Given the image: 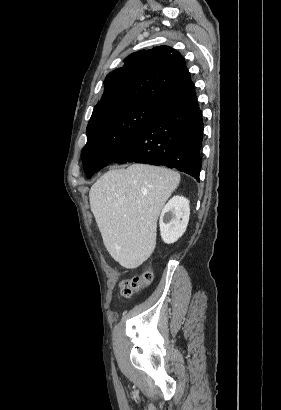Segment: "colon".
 <instances>
[{"label": "colon", "mask_w": 281, "mask_h": 410, "mask_svg": "<svg viewBox=\"0 0 281 410\" xmlns=\"http://www.w3.org/2000/svg\"><path fill=\"white\" fill-rule=\"evenodd\" d=\"M153 279L151 269L145 270L140 276L123 280L119 285V292L123 297H130L147 286Z\"/></svg>", "instance_id": "obj_1"}]
</instances>
